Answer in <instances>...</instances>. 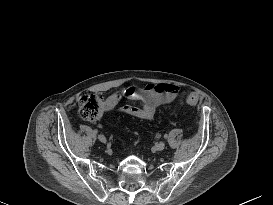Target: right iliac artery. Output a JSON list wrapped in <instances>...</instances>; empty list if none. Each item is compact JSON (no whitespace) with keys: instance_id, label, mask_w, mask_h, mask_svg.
Returning <instances> with one entry per match:
<instances>
[{"instance_id":"82829eb1","label":"right iliac artery","mask_w":273,"mask_h":205,"mask_svg":"<svg viewBox=\"0 0 273 205\" xmlns=\"http://www.w3.org/2000/svg\"><path fill=\"white\" fill-rule=\"evenodd\" d=\"M94 133H95V134H97V133H98V131H97V130H94Z\"/></svg>"}]
</instances>
